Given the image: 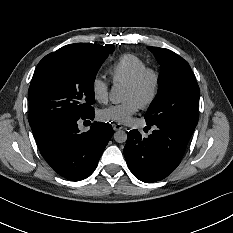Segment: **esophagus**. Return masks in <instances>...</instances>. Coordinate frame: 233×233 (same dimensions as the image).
<instances>
[{
	"mask_svg": "<svg viewBox=\"0 0 233 233\" xmlns=\"http://www.w3.org/2000/svg\"><path fill=\"white\" fill-rule=\"evenodd\" d=\"M112 127H113V130H115V131L123 129V126L119 123H113Z\"/></svg>",
	"mask_w": 233,
	"mask_h": 233,
	"instance_id": "obj_1",
	"label": "esophagus"
}]
</instances>
